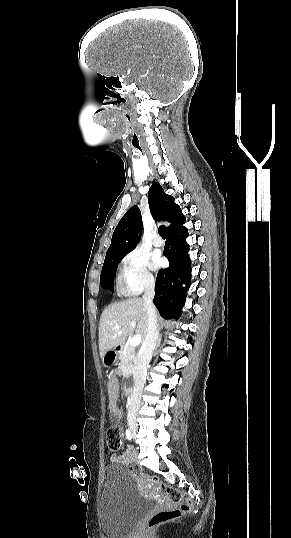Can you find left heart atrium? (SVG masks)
<instances>
[{"instance_id":"39dd6f15","label":"left heart atrium","mask_w":291,"mask_h":538,"mask_svg":"<svg viewBox=\"0 0 291 538\" xmlns=\"http://www.w3.org/2000/svg\"><path fill=\"white\" fill-rule=\"evenodd\" d=\"M161 264H162L161 258L158 256H153L152 261H151V267L153 269H157L161 266Z\"/></svg>"}]
</instances>
